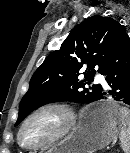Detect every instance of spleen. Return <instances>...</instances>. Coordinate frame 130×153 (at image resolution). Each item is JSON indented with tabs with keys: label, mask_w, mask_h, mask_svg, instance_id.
Segmentation results:
<instances>
[{
	"label": "spleen",
	"mask_w": 130,
	"mask_h": 153,
	"mask_svg": "<svg viewBox=\"0 0 130 153\" xmlns=\"http://www.w3.org/2000/svg\"><path fill=\"white\" fill-rule=\"evenodd\" d=\"M120 146L124 153H130V110L121 107Z\"/></svg>",
	"instance_id": "1"
}]
</instances>
